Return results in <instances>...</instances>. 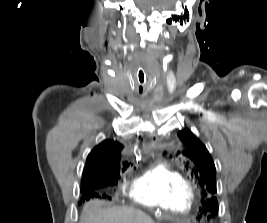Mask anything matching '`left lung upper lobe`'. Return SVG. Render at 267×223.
Returning <instances> with one entry per match:
<instances>
[{"instance_id": "1", "label": "left lung upper lobe", "mask_w": 267, "mask_h": 223, "mask_svg": "<svg viewBox=\"0 0 267 223\" xmlns=\"http://www.w3.org/2000/svg\"><path fill=\"white\" fill-rule=\"evenodd\" d=\"M178 136L184 144V149L177 152V160L187 169L188 166L190 167L192 176L196 178L198 186L202 189L206 200L203 201L200 211L208 214L209 219L217 214L218 208L217 199L212 196L217 192L214 162L206 147L189 129L179 131Z\"/></svg>"}]
</instances>
